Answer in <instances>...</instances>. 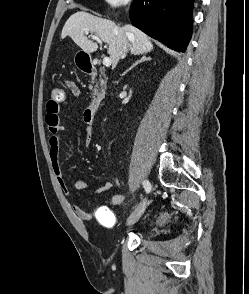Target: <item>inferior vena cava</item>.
I'll return each instance as SVG.
<instances>
[{
  "label": "inferior vena cava",
  "instance_id": "obj_1",
  "mask_svg": "<svg viewBox=\"0 0 249 294\" xmlns=\"http://www.w3.org/2000/svg\"><path fill=\"white\" fill-rule=\"evenodd\" d=\"M127 51H128V49L127 48H124V51H123V53L121 55V58L122 59L125 58Z\"/></svg>",
  "mask_w": 249,
  "mask_h": 294
}]
</instances>
